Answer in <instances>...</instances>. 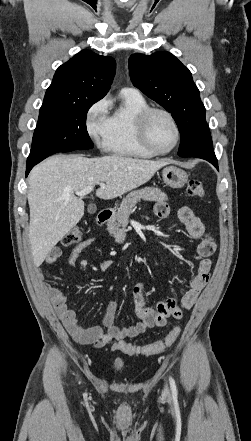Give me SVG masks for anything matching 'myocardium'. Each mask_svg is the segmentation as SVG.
Returning a JSON list of instances; mask_svg holds the SVG:
<instances>
[{"instance_id":"obj_1","label":"myocardium","mask_w":251,"mask_h":441,"mask_svg":"<svg viewBox=\"0 0 251 441\" xmlns=\"http://www.w3.org/2000/svg\"><path fill=\"white\" fill-rule=\"evenodd\" d=\"M156 113H160L165 115L171 122V124L173 125V128L175 130V142L172 145V147H170L167 150H159L157 148H155L149 138V132H148V126H149V122L151 117L156 114ZM136 128H137V134H138V138L141 142V144L143 145V147L145 149H147L149 152H151L154 155H166L171 153L173 150H175L177 148V146L179 145L180 139H181V132H180V128L179 125L175 119V117L173 116V114L164 109V108H158V107H149L147 109H145L143 112H141L137 118L136 121Z\"/></svg>"}]
</instances>
